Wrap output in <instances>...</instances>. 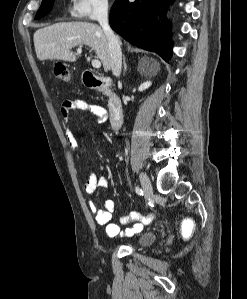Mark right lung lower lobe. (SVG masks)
Segmentation results:
<instances>
[{
  "label": "right lung lower lobe",
  "instance_id": "right-lung-lower-lobe-1",
  "mask_svg": "<svg viewBox=\"0 0 247 299\" xmlns=\"http://www.w3.org/2000/svg\"><path fill=\"white\" fill-rule=\"evenodd\" d=\"M174 0H116L110 13V26L131 44L156 52L168 62L173 42L169 24L157 26V15Z\"/></svg>",
  "mask_w": 247,
  "mask_h": 299
}]
</instances>
